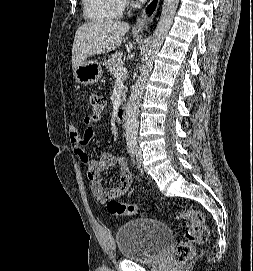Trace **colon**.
Instances as JSON below:
<instances>
[{
	"mask_svg": "<svg viewBox=\"0 0 253 271\" xmlns=\"http://www.w3.org/2000/svg\"><path fill=\"white\" fill-rule=\"evenodd\" d=\"M88 101L95 114H99L105 106L103 96L98 93H90L88 95ZM107 209L114 215L137 214L136 205L121 203L115 200H109L107 202ZM176 220L186 221L189 224L185 231L184 241L177 245L174 252L175 260L184 263L193 255L195 245L203 244L208 240L209 229L205 223L203 213L199 210H184L176 216Z\"/></svg>",
	"mask_w": 253,
	"mask_h": 271,
	"instance_id": "1",
	"label": "colon"
}]
</instances>
